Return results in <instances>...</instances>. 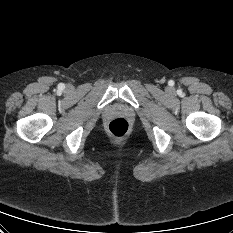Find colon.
<instances>
[{
	"mask_svg": "<svg viewBox=\"0 0 233 233\" xmlns=\"http://www.w3.org/2000/svg\"><path fill=\"white\" fill-rule=\"evenodd\" d=\"M108 132L115 138H124L129 132V123L124 118H116L108 124Z\"/></svg>",
	"mask_w": 233,
	"mask_h": 233,
	"instance_id": "1",
	"label": "colon"
}]
</instances>
